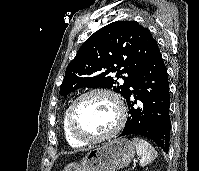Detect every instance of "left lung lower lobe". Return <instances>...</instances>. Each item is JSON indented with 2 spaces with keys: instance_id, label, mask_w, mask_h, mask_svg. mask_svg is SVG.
Returning a JSON list of instances; mask_svg holds the SVG:
<instances>
[{
  "instance_id": "obj_1",
  "label": "left lung lower lobe",
  "mask_w": 199,
  "mask_h": 171,
  "mask_svg": "<svg viewBox=\"0 0 199 171\" xmlns=\"http://www.w3.org/2000/svg\"><path fill=\"white\" fill-rule=\"evenodd\" d=\"M130 87L133 91L129 89L124 97L129 117L120 136L135 134L150 138L168 153L171 129L169 83L158 47Z\"/></svg>"
}]
</instances>
